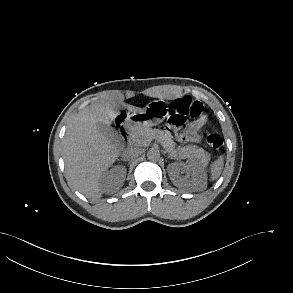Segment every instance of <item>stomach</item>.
Masks as SVG:
<instances>
[{"label":"stomach","mask_w":293,"mask_h":293,"mask_svg":"<svg viewBox=\"0 0 293 293\" xmlns=\"http://www.w3.org/2000/svg\"><path fill=\"white\" fill-rule=\"evenodd\" d=\"M169 106L165 100H154L143 110L133 112L127 118V125L133 129L138 127H152L160 124L167 117Z\"/></svg>","instance_id":"obj_1"}]
</instances>
